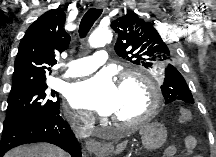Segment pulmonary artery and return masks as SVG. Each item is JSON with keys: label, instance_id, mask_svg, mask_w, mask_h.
I'll list each match as a JSON object with an SVG mask.
<instances>
[{"label": "pulmonary artery", "instance_id": "1", "mask_svg": "<svg viewBox=\"0 0 216 157\" xmlns=\"http://www.w3.org/2000/svg\"><path fill=\"white\" fill-rule=\"evenodd\" d=\"M108 60V54L104 50L95 52L93 55L73 60L67 64L66 77H79L90 74L104 65Z\"/></svg>", "mask_w": 216, "mask_h": 157}]
</instances>
